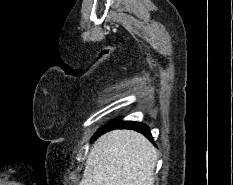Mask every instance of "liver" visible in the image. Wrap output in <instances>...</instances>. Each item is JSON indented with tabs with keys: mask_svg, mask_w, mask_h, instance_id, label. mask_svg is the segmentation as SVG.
<instances>
[{
	"mask_svg": "<svg viewBox=\"0 0 233 185\" xmlns=\"http://www.w3.org/2000/svg\"><path fill=\"white\" fill-rule=\"evenodd\" d=\"M157 156L142 134L113 130L90 150L79 185H153Z\"/></svg>",
	"mask_w": 233,
	"mask_h": 185,
	"instance_id": "obj_1",
	"label": "liver"
}]
</instances>
